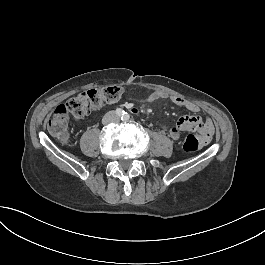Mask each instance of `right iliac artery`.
Returning a JSON list of instances; mask_svg holds the SVG:
<instances>
[{"label": "right iliac artery", "mask_w": 265, "mask_h": 265, "mask_svg": "<svg viewBox=\"0 0 265 265\" xmlns=\"http://www.w3.org/2000/svg\"><path fill=\"white\" fill-rule=\"evenodd\" d=\"M116 114L119 116V117H123L124 116V114H125V112H124V110H122L121 108H117L116 109Z\"/></svg>", "instance_id": "1"}]
</instances>
